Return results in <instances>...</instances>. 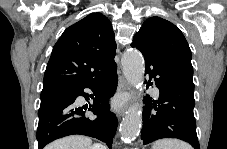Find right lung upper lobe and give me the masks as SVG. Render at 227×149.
<instances>
[{
    "mask_svg": "<svg viewBox=\"0 0 227 149\" xmlns=\"http://www.w3.org/2000/svg\"><path fill=\"white\" fill-rule=\"evenodd\" d=\"M116 42L110 21L93 13L68 27L54 45L43 89L71 87L114 61Z\"/></svg>",
    "mask_w": 227,
    "mask_h": 149,
    "instance_id": "cb5924a9",
    "label": "right lung upper lobe"
}]
</instances>
